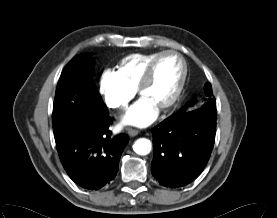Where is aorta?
I'll return each mask as SVG.
<instances>
[{
	"label": "aorta",
	"mask_w": 277,
	"mask_h": 218,
	"mask_svg": "<svg viewBox=\"0 0 277 218\" xmlns=\"http://www.w3.org/2000/svg\"><path fill=\"white\" fill-rule=\"evenodd\" d=\"M151 149H152V144L150 140L146 138H139L133 144L134 152L141 156L149 154Z\"/></svg>",
	"instance_id": "1"
}]
</instances>
